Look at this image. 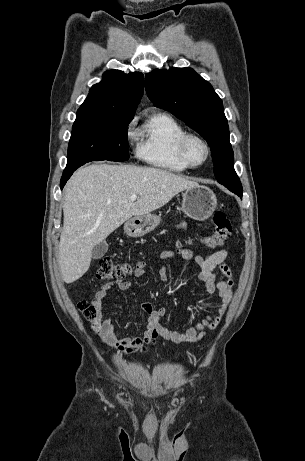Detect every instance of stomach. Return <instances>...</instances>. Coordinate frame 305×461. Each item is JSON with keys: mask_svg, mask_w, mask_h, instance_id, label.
<instances>
[{"mask_svg": "<svg viewBox=\"0 0 305 461\" xmlns=\"http://www.w3.org/2000/svg\"><path fill=\"white\" fill-rule=\"evenodd\" d=\"M181 210L188 217L204 221L209 218L217 207L214 192L206 186H195L182 193ZM161 218L156 214L135 216L124 225V232L130 237H140L160 224Z\"/></svg>", "mask_w": 305, "mask_h": 461, "instance_id": "stomach-1", "label": "stomach"}]
</instances>
